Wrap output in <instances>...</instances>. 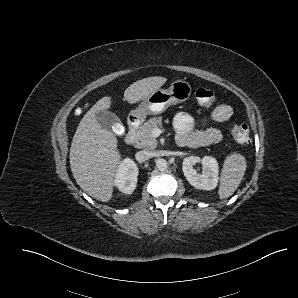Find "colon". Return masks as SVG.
Listing matches in <instances>:
<instances>
[{"label":"colon","mask_w":298,"mask_h":298,"mask_svg":"<svg viewBox=\"0 0 298 298\" xmlns=\"http://www.w3.org/2000/svg\"><path fill=\"white\" fill-rule=\"evenodd\" d=\"M195 98L200 106L209 107L215 101V93L208 88H198L195 92ZM230 133L234 140L239 143H247L249 141V127L243 122L232 125Z\"/></svg>","instance_id":"colon-1"}]
</instances>
